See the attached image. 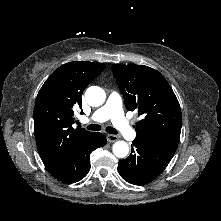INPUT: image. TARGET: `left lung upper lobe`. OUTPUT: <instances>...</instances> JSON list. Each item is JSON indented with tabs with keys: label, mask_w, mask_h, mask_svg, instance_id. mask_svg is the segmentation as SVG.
Instances as JSON below:
<instances>
[{
	"label": "left lung upper lobe",
	"mask_w": 221,
	"mask_h": 221,
	"mask_svg": "<svg viewBox=\"0 0 221 221\" xmlns=\"http://www.w3.org/2000/svg\"><path fill=\"white\" fill-rule=\"evenodd\" d=\"M112 71L128 110L137 111L136 139L175 153L181 132L179 102L156 70L144 65H112Z\"/></svg>",
	"instance_id": "5c2ea615"
}]
</instances>
